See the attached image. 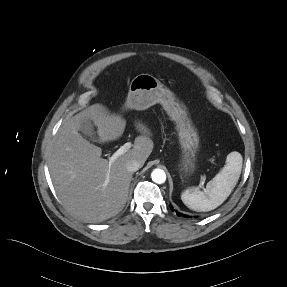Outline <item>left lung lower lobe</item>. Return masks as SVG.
I'll use <instances>...</instances> for the list:
<instances>
[{"label":"left lung lower lobe","mask_w":287,"mask_h":287,"mask_svg":"<svg viewBox=\"0 0 287 287\" xmlns=\"http://www.w3.org/2000/svg\"><path fill=\"white\" fill-rule=\"evenodd\" d=\"M171 210H173V208L171 207ZM177 213V215L179 216V215H181L179 212H176ZM183 217H187L186 215H183Z\"/></svg>","instance_id":"obj_1"}]
</instances>
